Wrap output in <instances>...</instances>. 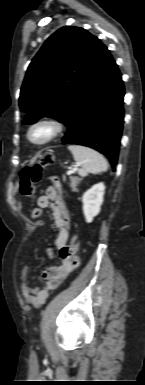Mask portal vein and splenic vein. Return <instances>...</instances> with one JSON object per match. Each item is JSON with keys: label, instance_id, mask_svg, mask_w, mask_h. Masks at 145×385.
Listing matches in <instances>:
<instances>
[{"label": "portal vein and splenic vein", "instance_id": "obj_1", "mask_svg": "<svg viewBox=\"0 0 145 385\" xmlns=\"http://www.w3.org/2000/svg\"><path fill=\"white\" fill-rule=\"evenodd\" d=\"M77 169H78V165H75L74 168H72L71 170L68 171V174H70V173L76 171Z\"/></svg>", "mask_w": 145, "mask_h": 385}]
</instances>
